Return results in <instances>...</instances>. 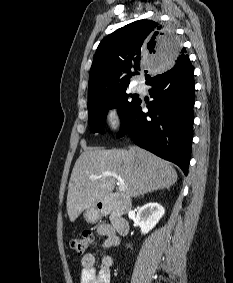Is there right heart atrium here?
Instances as JSON below:
<instances>
[{"instance_id":"right-heart-atrium-1","label":"right heart atrium","mask_w":233,"mask_h":283,"mask_svg":"<svg viewBox=\"0 0 233 283\" xmlns=\"http://www.w3.org/2000/svg\"><path fill=\"white\" fill-rule=\"evenodd\" d=\"M105 123L112 132L117 131L121 125V114L117 107H109L105 113Z\"/></svg>"}]
</instances>
